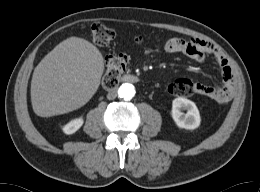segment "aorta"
I'll list each match as a JSON object with an SVG mask.
<instances>
[{
	"label": "aorta",
	"mask_w": 260,
	"mask_h": 192,
	"mask_svg": "<svg viewBox=\"0 0 260 192\" xmlns=\"http://www.w3.org/2000/svg\"><path fill=\"white\" fill-rule=\"evenodd\" d=\"M118 95L124 100H131L135 95V88L130 83H124L119 87Z\"/></svg>",
	"instance_id": "aorta-1"
}]
</instances>
